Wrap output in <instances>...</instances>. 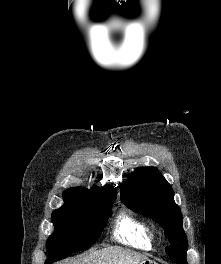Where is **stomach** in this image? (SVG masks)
Returning <instances> with one entry per match:
<instances>
[{
	"mask_svg": "<svg viewBox=\"0 0 221 264\" xmlns=\"http://www.w3.org/2000/svg\"><path fill=\"white\" fill-rule=\"evenodd\" d=\"M139 264H158V263L154 260L146 259V260L141 261Z\"/></svg>",
	"mask_w": 221,
	"mask_h": 264,
	"instance_id": "0dacf381",
	"label": "stomach"
}]
</instances>
